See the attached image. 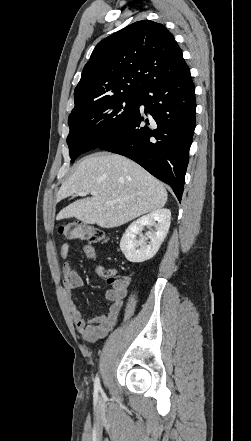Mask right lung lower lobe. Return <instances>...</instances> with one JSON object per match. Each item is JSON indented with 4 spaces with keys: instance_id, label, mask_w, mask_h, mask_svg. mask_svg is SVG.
I'll use <instances>...</instances> for the list:
<instances>
[{
    "instance_id": "98d812e1",
    "label": "right lung lower lobe",
    "mask_w": 251,
    "mask_h": 441,
    "mask_svg": "<svg viewBox=\"0 0 251 441\" xmlns=\"http://www.w3.org/2000/svg\"><path fill=\"white\" fill-rule=\"evenodd\" d=\"M145 106L144 116L139 107ZM122 130L99 148L126 156L169 184L181 201L195 129V86L188 66L151 84Z\"/></svg>"
}]
</instances>
